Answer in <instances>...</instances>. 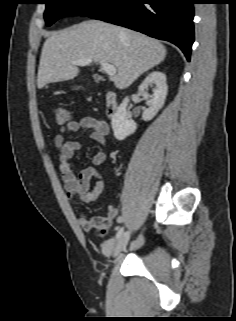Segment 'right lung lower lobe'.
<instances>
[{
	"label": "right lung lower lobe",
	"mask_w": 236,
	"mask_h": 321,
	"mask_svg": "<svg viewBox=\"0 0 236 321\" xmlns=\"http://www.w3.org/2000/svg\"><path fill=\"white\" fill-rule=\"evenodd\" d=\"M194 0H111L88 17L124 26L178 46L190 61Z\"/></svg>",
	"instance_id": "98d812e1"
}]
</instances>
